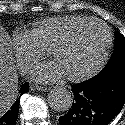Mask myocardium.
Instances as JSON below:
<instances>
[{
  "label": "myocardium",
  "mask_w": 125,
  "mask_h": 125,
  "mask_svg": "<svg viewBox=\"0 0 125 125\" xmlns=\"http://www.w3.org/2000/svg\"><path fill=\"white\" fill-rule=\"evenodd\" d=\"M92 24H98V25L102 26L104 28V30L106 31V43H105L103 53L100 56L99 60L96 62V64L93 65L88 70H86L85 72L77 74V75H67V78L71 81L79 82V81L86 80V79L94 76L95 74H97L105 66V64H106V62L108 61V58H109V54H110V50H111V46H112V41H113V34H112V31H111L110 27L106 23H104L103 21H101L99 19L91 18V19H88V20H84V21L74 25L68 31H66L63 35H61L52 44V46L50 48V54L53 57H55V54H56L57 50L61 46H63L67 42H69L70 39L73 37V35L77 31H79L80 29H82L85 26L92 25Z\"/></svg>",
  "instance_id": "f54148a6"
}]
</instances>
